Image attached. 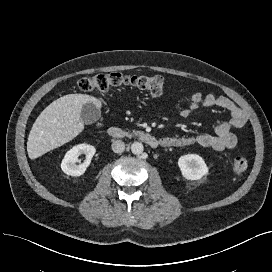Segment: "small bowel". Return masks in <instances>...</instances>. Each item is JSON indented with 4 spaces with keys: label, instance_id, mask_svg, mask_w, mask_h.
Masks as SVG:
<instances>
[{
    "label": "small bowel",
    "instance_id": "small-bowel-1",
    "mask_svg": "<svg viewBox=\"0 0 272 272\" xmlns=\"http://www.w3.org/2000/svg\"><path fill=\"white\" fill-rule=\"evenodd\" d=\"M219 107L229 113L227 121L219 123L214 133H201L195 136H166L160 139L163 147H185L196 144L214 150L233 149L238 142L234 129H240L247 123V115L233 101L224 96L214 93L203 95L201 92H194L186 107L180 111L183 119L190 117L191 113L200 107Z\"/></svg>",
    "mask_w": 272,
    "mask_h": 272
}]
</instances>
